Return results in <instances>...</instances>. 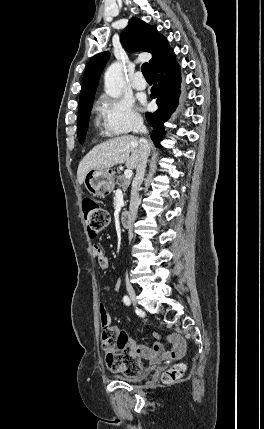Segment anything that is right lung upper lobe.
Returning a JSON list of instances; mask_svg holds the SVG:
<instances>
[{"label":"right lung upper lobe","mask_w":264,"mask_h":429,"mask_svg":"<svg viewBox=\"0 0 264 429\" xmlns=\"http://www.w3.org/2000/svg\"><path fill=\"white\" fill-rule=\"evenodd\" d=\"M121 42L129 51H145L152 54L149 71L172 49L168 41L151 26L138 18H132L121 34ZM110 57L109 52L95 55L88 63L82 82L79 106L93 102L103 67ZM78 106V107H79Z\"/></svg>","instance_id":"right-lung-upper-lobe-1"}]
</instances>
